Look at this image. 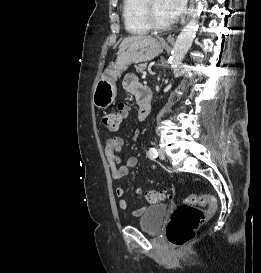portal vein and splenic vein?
<instances>
[{
  "mask_svg": "<svg viewBox=\"0 0 261 273\" xmlns=\"http://www.w3.org/2000/svg\"><path fill=\"white\" fill-rule=\"evenodd\" d=\"M146 72H143L142 78L145 79L146 78Z\"/></svg>",
  "mask_w": 261,
  "mask_h": 273,
  "instance_id": "1",
  "label": "portal vein and splenic vein"
}]
</instances>
